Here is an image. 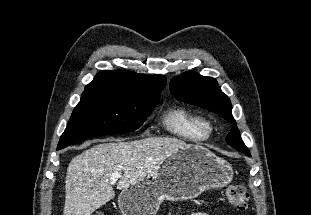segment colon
I'll use <instances>...</instances> for the list:
<instances>
[{"label":"colon","instance_id":"obj_1","mask_svg":"<svg viewBox=\"0 0 311 215\" xmlns=\"http://www.w3.org/2000/svg\"><path fill=\"white\" fill-rule=\"evenodd\" d=\"M226 195L229 203L239 211H245L248 207L249 193L241 184L230 185L227 188ZM96 215H104L97 213Z\"/></svg>","mask_w":311,"mask_h":215}]
</instances>
